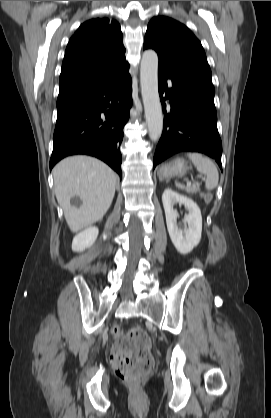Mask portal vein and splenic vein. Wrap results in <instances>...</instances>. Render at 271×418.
Instances as JSON below:
<instances>
[{"label": "portal vein and splenic vein", "mask_w": 271, "mask_h": 418, "mask_svg": "<svg viewBox=\"0 0 271 418\" xmlns=\"http://www.w3.org/2000/svg\"><path fill=\"white\" fill-rule=\"evenodd\" d=\"M204 179V178H203ZM187 186L190 187L191 186V182L189 180H187Z\"/></svg>", "instance_id": "1"}]
</instances>
